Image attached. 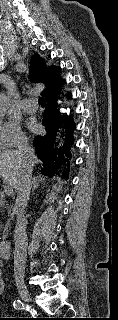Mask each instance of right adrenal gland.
Here are the masks:
<instances>
[{
	"label": "right adrenal gland",
	"mask_w": 118,
	"mask_h": 320,
	"mask_svg": "<svg viewBox=\"0 0 118 320\" xmlns=\"http://www.w3.org/2000/svg\"><path fill=\"white\" fill-rule=\"evenodd\" d=\"M38 186H39V181H38L37 177H34V178H33L32 192H33L36 188H38Z\"/></svg>",
	"instance_id": "right-adrenal-gland-1"
}]
</instances>
